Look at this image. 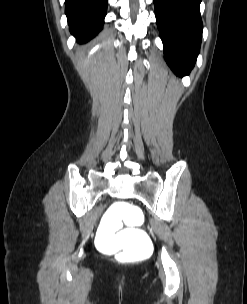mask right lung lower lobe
I'll return each instance as SVG.
<instances>
[{"instance_id":"1","label":"right lung lower lobe","mask_w":247,"mask_h":304,"mask_svg":"<svg viewBox=\"0 0 247 304\" xmlns=\"http://www.w3.org/2000/svg\"><path fill=\"white\" fill-rule=\"evenodd\" d=\"M108 0H65L71 33L85 43L102 29Z\"/></svg>"}]
</instances>
